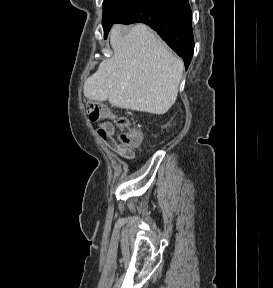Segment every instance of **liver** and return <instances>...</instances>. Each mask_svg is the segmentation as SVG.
Masks as SVG:
<instances>
[{
  "label": "liver",
  "mask_w": 273,
  "mask_h": 288,
  "mask_svg": "<svg viewBox=\"0 0 273 288\" xmlns=\"http://www.w3.org/2000/svg\"><path fill=\"white\" fill-rule=\"evenodd\" d=\"M113 56L84 83V96L115 107L165 114L175 103L183 62L146 25L110 31Z\"/></svg>",
  "instance_id": "obj_1"
}]
</instances>
